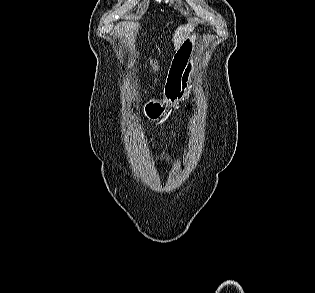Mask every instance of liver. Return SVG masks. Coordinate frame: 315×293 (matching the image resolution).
I'll return each instance as SVG.
<instances>
[{
    "label": "liver",
    "mask_w": 315,
    "mask_h": 293,
    "mask_svg": "<svg viewBox=\"0 0 315 293\" xmlns=\"http://www.w3.org/2000/svg\"><path fill=\"white\" fill-rule=\"evenodd\" d=\"M195 24L188 23L186 26H179L173 35L174 47L177 50L179 46L183 43L185 38L194 29Z\"/></svg>",
    "instance_id": "obj_1"
}]
</instances>
